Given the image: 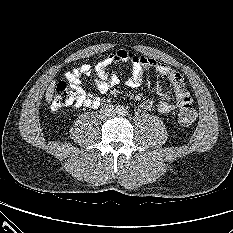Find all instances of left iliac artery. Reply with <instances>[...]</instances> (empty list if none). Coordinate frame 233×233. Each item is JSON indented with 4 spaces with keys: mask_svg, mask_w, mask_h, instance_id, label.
<instances>
[{
    "mask_svg": "<svg viewBox=\"0 0 233 233\" xmlns=\"http://www.w3.org/2000/svg\"><path fill=\"white\" fill-rule=\"evenodd\" d=\"M124 115L128 114V112L126 110L123 111Z\"/></svg>",
    "mask_w": 233,
    "mask_h": 233,
    "instance_id": "1",
    "label": "left iliac artery"
}]
</instances>
